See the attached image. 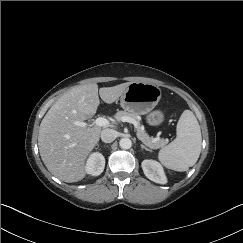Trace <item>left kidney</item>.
<instances>
[{
  "label": "left kidney",
  "mask_w": 243,
  "mask_h": 243,
  "mask_svg": "<svg viewBox=\"0 0 243 243\" xmlns=\"http://www.w3.org/2000/svg\"><path fill=\"white\" fill-rule=\"evenodd\" d=\"M142 169L145 176L151 181L159 184L167 183V178L165 176L162 166L154 160H144L142 162Z\"/></svg>",
  "instance_id": "obj_1"
}]
</instances>
